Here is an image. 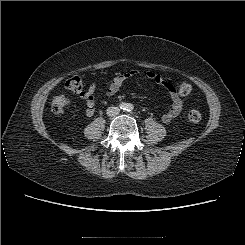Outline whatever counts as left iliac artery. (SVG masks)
<instances>
[{
    "label": "left iliac artery",
    "mask_w": 245,
    "mask_h": 245,
    "mask_svg": "<svg viewBox=\"0 0 245 245\" xmlns=\"http://www.w3.org/2000/svg\"><path fill=\"white\" fill-rule=\"evenodd\" d=\"M128 109H129V111H131L133 109V106L132 105H128Z\"/></svg>",
    "instance_id": "obj_1"
}]
</instances>
